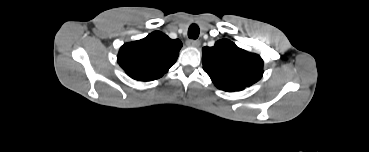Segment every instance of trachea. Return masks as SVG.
Here are the masks:
<instances>
[{"instance_id":"1","label":"trachea","mask_w":369,"mask_h":152,"mask_svg":"<svg viewBox=\"0 0 369 152\" xmlns=\"http://www.w3.org/2000/svg\"><path fill=\"white\" fill-rule=\"evenodd\" d=\"M200 33V29L198 27L197 24H192L190 25L189 29H188V37L190 39H197Z\"/></svg>"}]
</instances>
